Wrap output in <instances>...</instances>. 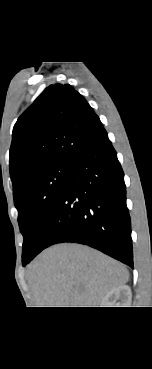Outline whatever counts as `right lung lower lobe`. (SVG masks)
<instances>
[{"label": "right lung lower lobe", "mask_w": 152, "mask_h": 369, "mask_svg": "<svg viewBox=\"0 0 152 369\" xmlns=\"http://www.w3.org/2000/svg\"><path fill=\"white\" fill-rule=\"evenodd\" d=\"M62 242L91 246L133 268L124 173L106 131L71 160L36 251L23 266L43 249Z\"/></svg>", "instance_id": "1"}]
</instances>
